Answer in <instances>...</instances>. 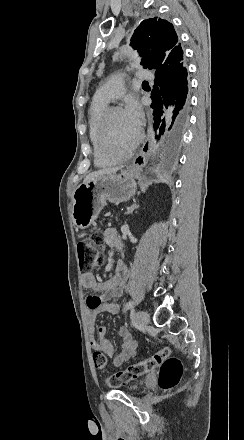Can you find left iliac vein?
I'll return each instance as SVG.
<instances>
[{
	"label": "left iliac vein",
	"mask_w": 244,
	"mask_h": 440,
	"mask_svg": "<svg viewBox=\"0 0 244 440\" xmlns=\"http://www.w3.org/2000/svg\"><path fill=\"white\" fill-rule=\"evenodd\" d=\"M135 321L141 327H145L150 323V316L145 311H138L135 315Z\"/></svg>",
	"instance_id": "4c4485c4"
}]
</instances>
